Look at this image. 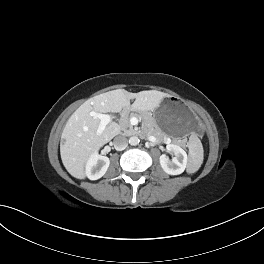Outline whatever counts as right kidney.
Instances as JSON below:
<instances>
[{
    "mask_svg": "<svg viewBox=\"0 0 264 264\" xmlns=\"http://www.w3.org/2000/svg\"><path fill=\"white\" fill-rule=\"evenodd\" d=\"M110 160L106 156L93 153L86 162L85 173L90 180L100 179L106 173Z\"/></svg>",
    "mask_w": 264,
    "mask_h": 264,
    "instance_id": "ca27d5eb",
    "label": "right kidney"
}]
</instances>
